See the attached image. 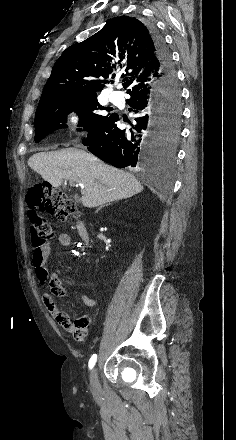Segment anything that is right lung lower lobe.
<instances>
[{"mask_svg":"<svg viewBox=\"0 0 236 440\" xmlns=\"http://www.w3.org/2000/svg\"><path fill=\"white\" fill-rule=\"evenodd\" d=\"M160 64L159 80L148 87L129 93L127 100L135 118L131 128L120 129V118L111 114L105 121L88 131L83 144L95 156L118 168L145 169L160 159L162 147L159 134L163 130L165 113L171 102L161 90L178 86L172 58L163 37L152 25L148 26Z\"/></svg>","mask_w":236,"mask_h":440,"instance_id":"obj_1","label":"right lung lower lobe"}]
</instances>
